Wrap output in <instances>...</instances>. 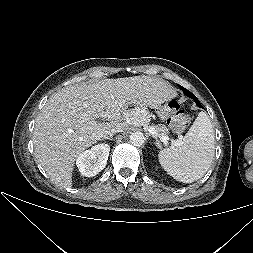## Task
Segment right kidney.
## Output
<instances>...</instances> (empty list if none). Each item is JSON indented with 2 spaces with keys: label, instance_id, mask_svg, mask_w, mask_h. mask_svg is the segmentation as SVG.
<instances>
[{
  "label": "right kidney",
  "instance_id": "obj_1",
  "mask_svg": "<svg viewBox=\"0 0 253 253\" xmlns=\"http://www.w3.org/2000/svg\"><path fill=\"white\" fill-rule=\"evenodd\" d=\"M109 151L110 146L102 143L92 146L90 150L81 153L76 160L79 172L86 177L98 174L107 164Z\"/></svg>",
  "mask_w": 253,
  "mask_h": 253
}]
</instances>
